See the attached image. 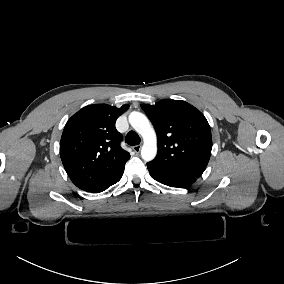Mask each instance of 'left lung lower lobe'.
I'll use <instances>...</instances> for the list:
<instances>
[{"instance_id":"obj_1","label":"left lung lower lobe","mask_w":284,"mask_h":284,"mask_svg":"<svg viewBox=\"0 0 284 284\" xmlns=\"http://www.w3.org/2000/svg\"><path fill=\"white\" fill-rule=\"evenodd\" d=\"M148 170L152 178L156 181L177 188H184L193 184L197 178L185 176L181 174H175L164 169L158 168L151 163L147 164Z\"/></svg>"}]
</instances>
